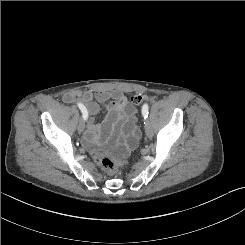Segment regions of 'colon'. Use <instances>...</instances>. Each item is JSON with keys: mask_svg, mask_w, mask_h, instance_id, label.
<instances>
[{"mask_svg": "<svg viewBox=\"0 0 245 245\" xmlns=\"http://www.w3.org/2000/svg\"><path fill=\"white\" fill-rule=\"evenodd\" d=\"M149 96L143 94H136L131 97L132 104L136 107L139 106L144 101L148 100ZM136 111V108L134 109ZM92 157L94 161L101 166L105 171L110 174H115L118 172L119 168L123 165V161L115 160L108 156L101 154L100 152L93 151Z\"/></svg>", "mask_w": 245, "mask_h": 245, "instance_id": "obj_1", "label": "colon"}]
</instances>
